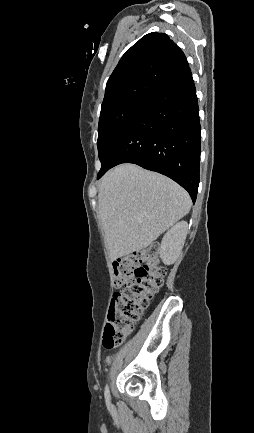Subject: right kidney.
Here are the masks:
<instances>
[{
	"instance_id": "obj_1",
	"label": "right kidney",
	"mask_w": 254,
	"mask_h": 433,
	"mask_svg": "<svg viewBox=\"0 0 254 433\" xmlns=\"http://www.w3.org/2000/svg\"><path fill=\"white\" fill-rule=\"evenodd\" d=\"M188 232L186 221L178 222L164 235L160 246V257L164 264H173L180 255Z\"/></svg>"
}]
</instances>
